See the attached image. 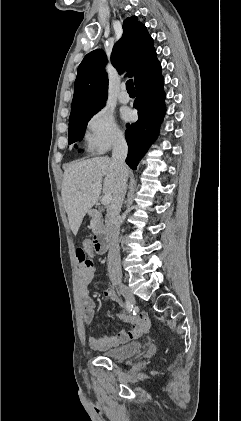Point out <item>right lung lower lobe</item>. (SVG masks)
<instances>
[{"instance_id": "right-lung-lower-lobe-1", "label": "right lung lower lobe", "mask_w": 241, "mask_h": 421, "mask_svg": "<svg viewBox=\"0 0 241 421\" xmlns=\"http://www.w3.org/2000/svg\"><path fill=\"white\" fill-rule=\"evenodd\" d=\"M163 84L161 65L157 59L135 82L138 96L134 107L138 110L139 117L137 122L126 125L125 132L128 144L126 163L133 170L158 135L159 125L166 110Z\"/></svg>"}]
</instances>
